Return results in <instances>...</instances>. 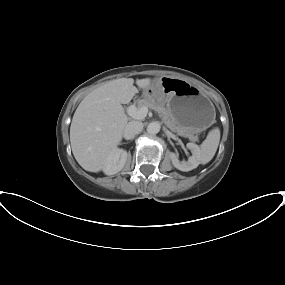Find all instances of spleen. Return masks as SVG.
<instances>
[{
  "label": "spleen",
  "instance_id": "3e777b00",
  "mask_svg": "<svg viewBox=\"0 0 285 285\" xmlns=\"http://www.w3.org/2000/svg\"><path fill=\"white\" fill-rule=\"evenodd\" d=\"M220 142V129H212L201 144V163L207 164L214 157Z\"/></svg>",
  "mask_w": 285,
  "mask_h": 285
}]
</instances>
